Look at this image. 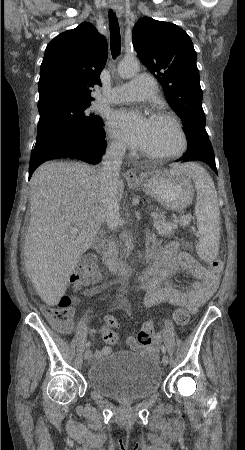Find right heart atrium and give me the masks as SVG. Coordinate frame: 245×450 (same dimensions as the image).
I'll return each mask as SVG.
<instances>
[{"instance_id":"obj_1","label":"right heart atrium","mask_w":245,"mask_h":450,"mask_svg":"<svg viewBox=\"0 0 245 450\" xmlns=\"http://www.w3.org/2000/svg\"><path fill=\"white\" fill-rule=\"evenodd\" d=\"M111 148L115 151H122L123 145L118 140L114 139L111 143Z\"/></svg>"}]
</instances>
